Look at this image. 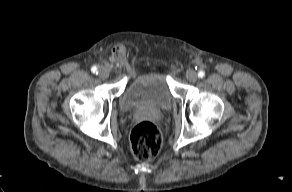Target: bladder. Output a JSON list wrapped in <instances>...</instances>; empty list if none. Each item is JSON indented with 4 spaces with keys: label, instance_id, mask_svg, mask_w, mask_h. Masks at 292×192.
I'll return each mask as SVG.
<instances>
[{
    "label": "bladder",
    "instance_id": "31cf9c89",
    "mask_svg": "<svg viewBox=\"0 0 292 192\" xmlns=\"http://www.w3.org/2000/svg\"><path fill=\"white\" fill-rule=\"evenodd\" d=\"M173 99L166 75L153 71L130 80L120 97V107L123 111H167Z\"/></svg>",
    "mask_w": 292,
    "mask_h": 192
}]
</instances>
